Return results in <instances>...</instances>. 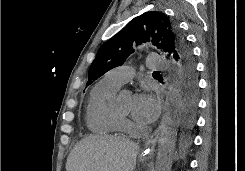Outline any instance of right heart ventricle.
<instances>
[{
    "mask_svg": "<svg viewBox=\"0 0 245 171\" xmlns=\"http://www.w3.org/2000/svg\"><path fill=\"white\" fill-rule=\"evenodd\" d=\"M117 90L104 79L92 88L86 107V123L91 132L117 134L122 129L123 118L110 104Z\"/></svg>",
    "mask_w": 245,
    "mask_h": 171,
    "instance_id": "right-heart-ventricle-1",
    "label": "right heart ventricle"
}]
</instances>
